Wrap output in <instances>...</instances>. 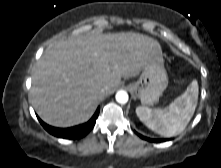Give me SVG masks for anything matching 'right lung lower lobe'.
<instances>
[{"instance_id": "obj_1", "label": "right lung lower lobe", "mask_w": 221, "mask_h": 168, "mask_svg": "<svg viewBox=\"0 0 221 168\" xmlns=\"http://www.w3.org/2000/svg\"><path fill=\"white\" fill-rule=\"evenodd\" d=\"M99 115V108L96 110L93 117L85 124L70 128H55L47 125L41 119H39L42 126L52 135L65 139H79L87 135L95 125L96 119Z\"/></svg>"}]
</instances>
